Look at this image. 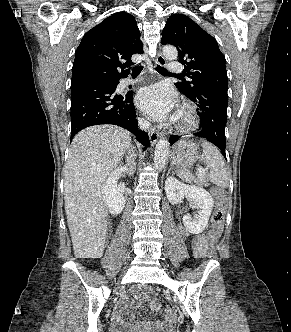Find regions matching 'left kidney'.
<instances>
[{
    "instance_id": "1",
    "label": "left kidney",
    "mask_w": 291,
    "mask_h": 332,
    "mask_svg": "<svg viewBox=\"0 0 291 332\" xmlns=\"http://www.w3.org/2000/svg\"><path fill=\"white\" fill-rule=\"evenodd\" d=\"M165 192L172 204L182 202L184 197L191 198L192 205L198 208V212L194 217L183 216V224L190 233H201L208 223L214 206L211 194L201 187L184 184L173 176L166 179Z\"/></svg>"
}]
</instances>
